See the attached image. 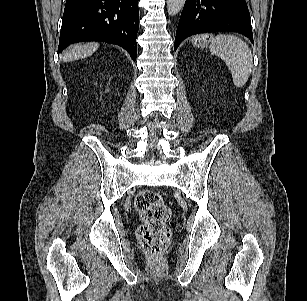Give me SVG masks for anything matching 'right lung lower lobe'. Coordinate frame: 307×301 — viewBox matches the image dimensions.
Segmentation results:
<instances>
[{
  "label": "right lung lower lobe",
  "mask_w": 307,
  "mask_h": 301,
  "mask_svg": "<svg viewBox=\"0 0 307 301\" xmlns=\"http://www.w3.org/2000/svg\"><path fill=\"white\" fill-rule=\"evenodd\" d=\"M138 0H66L58 54L82 41H104L125 48L136 60Z\"/></svg>",
  "instance_id": "1"
}]
</instances>
